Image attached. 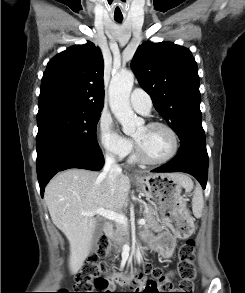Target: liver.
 Here are the masks:
<instances>
[{"label": "liver", "mask_w": 245, "mask_h": 293, "mask_svg": "<svg viewBox=\"0 0 245 293\" xmlns=\"http://www.w3.org/2000/svg\"><path fill=\"white\" fill-rule=\"evenodd\" d=\"M190 190L192 181L183 174H171ZM130 179L118 176L112 190L102 173L85 169H68L55 176L46 186V201L53 224L67 237L70 244L69 268L76 274L88 257L97 225L93 216L82 215L98 208L118 212L128 204Z\"/></svg>", "instance_id": "6515ba94"}]
</instances>
